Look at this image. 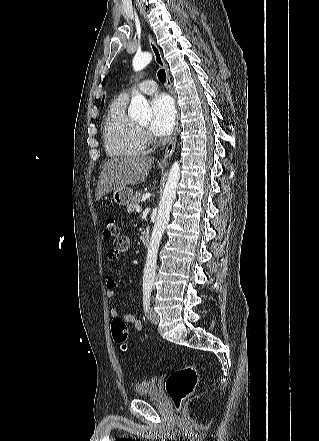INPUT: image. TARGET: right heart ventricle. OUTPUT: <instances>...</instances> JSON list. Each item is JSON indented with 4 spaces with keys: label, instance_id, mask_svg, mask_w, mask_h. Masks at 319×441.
<instances>
[{
    "label": "right heart ventricle",
    "instance_id": "right-heart-ventricle-1",
    "mask_svg": "<svg viewBox=\"0 0 319 441\" xmlns=\"http://www.w3.org/2000/svg\"><path fill=\"white\" fill-rule=\"evenodd\" d=\"M127 98L120 95L109 106L103 126V138L110 156H137L145 149L141 129L125 111Z\"/></svg>",
    "mask_w": 319,
    "mask_h": 441
}]
</instances>
